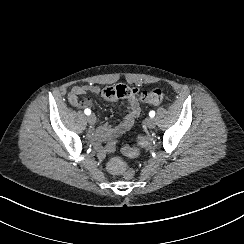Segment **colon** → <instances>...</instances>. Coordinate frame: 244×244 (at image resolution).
Listing matches in <instances>:
<instances>
[{
  "mask_svg": "<svg viewBox=\"0 0 244 244\" xmlns=\"http://www.w3.org/2000/svg\"><path fill=\"white\" fill-rule=\"evenodd\" d=\"M138 91L137 88L126 84H116L105 88L104 96L110 100H116L124 98L126 96H133ZM144 104L148 105H160L164 101V93L160 88L154 87L146 89V92L138 99ZM138 146L133 144L124 145L121 148V153L124 156H130L131 158H137L142 155L143 150H148L151 147L150 138L146 133H141L136 138ZM122 144V139L120 137L110 138L107 141L105 152H115L118 146ZM143 149V150H142ZM122 174L126 178H131L134 175V170L131 167H126Z\"/></svg>",
  "mask_w": 244,
  "mask_h": 244,
  "instance_id": "1",
  "label": "colon"
}]
</instances>
